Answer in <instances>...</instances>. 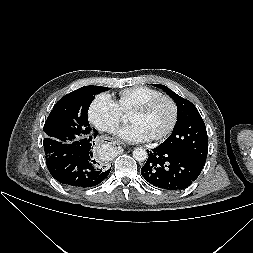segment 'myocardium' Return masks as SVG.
Returning <instances> with one entry per match:
<instances>
[{
  "label": "myocardium",
  "instance_id": "obj_1",
  "mask_svg": "<svg viewBox=\"0 0 253 253\" xmlns=\"http://www.w3.org/2000/svg\"><path fill=\"white\" fill-rule=\"evenodd\" d=\"M160 101H167L172 108V120L168 126V128L159 136L152 138L153 141L155 142H161L165 140L167 137L171 135V133L174 131L176 128V125L178 123V118H179V111H178V106L176 102L174 101L173 98L167 95H159L157 97H154L152 99H149L148 101L142 103L138 107H136L131 113V115L134 114H143L151 110L158 102Z\"/></svg>",
  "mask_w": 253,
  "mask_h": 253
}]
</instances>
